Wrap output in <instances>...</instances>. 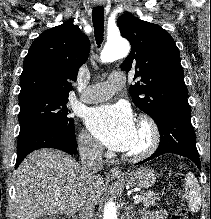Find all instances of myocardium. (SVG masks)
<instances>
[{
  "instance_id": "myocardium-1",
  "label": "myocardium",
  "mask_w": 211,
  "mask_h": 219,
  "mask_svg": "<svg viewBox=\"0 0 211 219\" xmlns=\"http://www.w3.org/2000/svg\"><path fill=\"white\" fill-rule=\"evenodd\" d=\"M138 126L143 128L147 133V142L139 150L133 152H126L124 159L137 162L144 160L151 156L160 144V130L157 123L149 116L142 115L139 117Z\"/></svg>"
}]
</instances>
